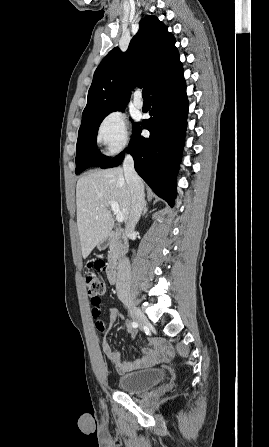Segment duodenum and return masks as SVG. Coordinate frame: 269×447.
I'll return each mask as SVG.
<instances>
[{
    "label": "duodenum",
    "mask_w": 269,
    "mask_h": 447,
    "mask_svg": "<svg viewBox=\"0 0 269 447\" xmlns=\"http://www.w3.org/2000/svg\"><path fill=\"white\" fill-rule=\"evenodd\" d=\"M108 239L113 241L120 254H123L127 248V241L124 233L121 230H112ZM120 263L116 262L108 266L107 278L111 284H115L118 280Z\"/></svg>",
    "instance_id": "duodenum-1"
}]
</instances>
